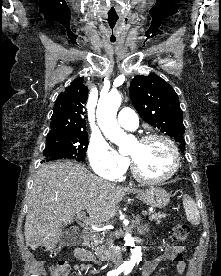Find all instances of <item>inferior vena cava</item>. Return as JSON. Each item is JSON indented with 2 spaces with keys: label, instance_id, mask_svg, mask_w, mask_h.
Instances as JSON below:
<instances>
[{
  "label": "inferior vena cava",
  "instance_id": "obj_1",
  "mask_svg": "<svg viewBox=\"0 0 221 276\" xmlns=\"http://www.w3.org/2000/svg\"><path fill=\"white\" fill-rule=\"evenodd\" d=\"M110 260L115 266H118L122 262L121 250L113 245V240L108 239Z\"/></svg>",
  "mask_w": 221,
  "mask_h": 276
}]
</instances>
